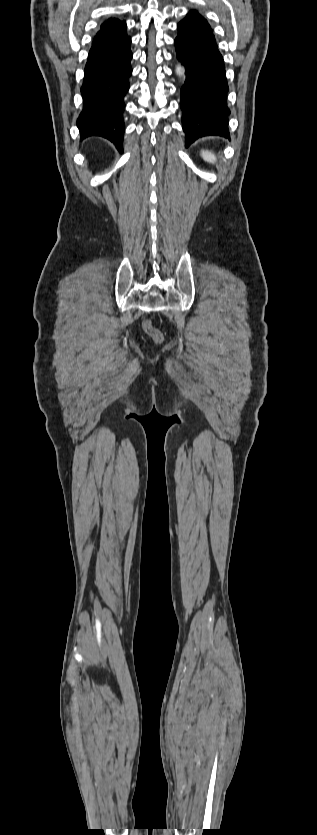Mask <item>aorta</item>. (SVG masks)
<instances>
[{
	"mask_svg": "<svg viewBox=\"0 0 317 835\" xmlns=\"http://www.w3.org/2000/svg\"><path fill=\"white\" fill-rule=\"evenodd\" d=\"M176 72L178 73V75L182 76L183 75V68L178 66L177 69H176Z\"/></svg>",
	"mask_w": 317,
	"mask_h": 835,
	"instance_id": "aorta-1",
	"label": "aorta"
}]
</instances>
